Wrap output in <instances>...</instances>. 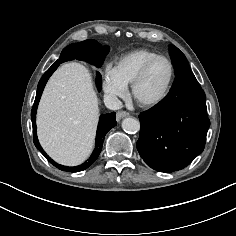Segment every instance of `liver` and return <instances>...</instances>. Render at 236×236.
Returning <instances> with one entry per match:
<instances>
[{
    "mask_svg": "<svg viewBox=\"0 0 236 236\" xmlns=\"http://www.w3.org/2000/svg\"><path fill=\"white\" fill-rule=\"evenodd\" d=\"M99 119L91 75L79 63H66L49 79L37 112V134L56 162L75 166L92 152Z\"/></svg>",
    "mask_w": 236,
    "mask_h": 236,
    "instance_id": "1",
    "label": "liver"
}]
</instances>
